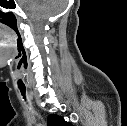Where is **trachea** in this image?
Wrapping results in <instances>:
<instances>
[{
  "mask_svg": "<svg viewBox=\"0 0 127 126\" xmlns=\"http://www.w3.org/2000/svg\"><path fill=\"white\" fill-rule=\"evenodd\" d=\"M21 94L23 96V98L26 100V96H25V88H20Z\"/></svg>",
  "mask_w": 127,
  "mask_h": 126,
  "instance_id": "3493384b",
  "label": "trachea"
}]
</instances>
